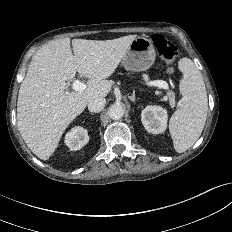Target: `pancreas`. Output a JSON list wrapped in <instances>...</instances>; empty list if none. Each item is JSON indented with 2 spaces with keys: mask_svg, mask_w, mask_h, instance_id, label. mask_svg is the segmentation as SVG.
<instances>
[{
  "mask_svg": "<svg viewBox=\"0 0 232 232\" xmlns=\"http://www.w3.org/2000/svg\"><path fill=\"white\" fill-rule=\"evenodd\" d=\"M168 96H169L170 103L173 104L175 101V93L173 91H169Z\"/></svg>",
  "mask_w": 232,
  "mask_h": 232,
  "instance_id": "cf45deb5",
  "label": "pancreas"
}]
</instances>
